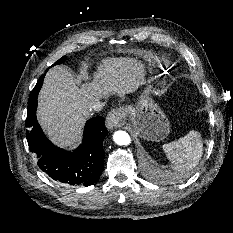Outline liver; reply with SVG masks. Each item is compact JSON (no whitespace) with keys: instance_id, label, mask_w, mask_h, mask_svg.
<instances>
[{"instance_id":"liver-1","label":"liver","mask_w":233,"mask_h":233,"mask_svg":"<svg viewBox=\"0 0 233 233\" xmlns=\"http://www.w3.org/2000/svg\"><path fill=\"white\" fill-rule=\"evenodd\" d=\"M94 81L77 85L66 66L51 68L38 97V121L60 147H71L79 139L92 104L108 94L133 92L143 76V65L132 58H106L98 66Z\"/></svg>"}]
</instances>
